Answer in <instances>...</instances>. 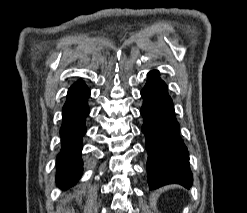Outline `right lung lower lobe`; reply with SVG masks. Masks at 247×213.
<instances>
[{
	"mask_svg": "<svg viewBox=\"0 0 247 213\" xmlns=\"http://www.w3.org/2000/svg\"><path fill=\"white\" fill-rule=\"evenodd\" d=\"M89 95L90 90L82 80L74 83L68 90L60 129L62 148L57 157V184L61 188L74 185L82 173V137L86 133L85 118L89 114Z\"/></svg>",
	"mask_w": 247,
	"mask_h": 213,
	"instance_id": "obj_1",
	"label": "right lung lower lobe"
}]
</instances>
